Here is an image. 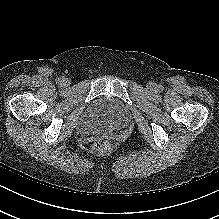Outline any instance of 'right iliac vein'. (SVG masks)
I'll return each mask as SVG.
<instances>
[{"mask_svg": "<svg viewBox=\"0 0 219 219\" xmlns=\"http://www.w3.org/2000/svg\"><path fill=\"white\" fill-rule=\"evenodd\" d=\"M69 83H70V81L66 78H63L62 81H61V85H63V86H68Z\"/></svg>", "mask_w": 219, "mask_h": 219, "instance_id": "1", "label": "right iliac vein"}]
</instances>
